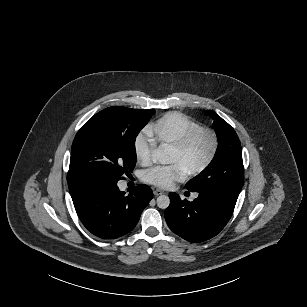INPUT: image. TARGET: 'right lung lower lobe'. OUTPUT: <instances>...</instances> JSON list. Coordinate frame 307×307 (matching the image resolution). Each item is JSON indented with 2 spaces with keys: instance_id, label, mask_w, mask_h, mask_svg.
Instances as JSON below:
<instances>
[{
  "instance_id": "obj_1",
  "label": "right lung lower lobe",
  "mask_w": 307,
  "mask_h": 307,
  "mask_svg": "<svg viewBox=\"0 0 307 307\" xmlns=\"http://www.w3.org/2000/svg\"><path fill=\"white\" fill-rule=\"evenodd\" d=\"M77 215L95 236L114 239L130 232L143 209L153 198L152 190L144 184L130 190L126 196L117 181L95 179L69 185Z\"/></svg>"
}]
</instances>
